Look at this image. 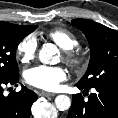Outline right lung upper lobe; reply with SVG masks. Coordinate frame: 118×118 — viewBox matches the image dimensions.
Returning a JSON list of instances; mask_svg holds the SVG:
<instances>
[{
  "mask_svg": "<svg viewBox=\"0 0 118 118\" xmlns=\"http://www.w3.org/2000/svg\"><path fill=\"white\" fill-rule=\"evenodd\" d=\"M18 26H20L21 29L28 31L30 33L33 32L37 28V26H21V25H18Z\"/></svg>",
  "mask_w": 118,
  "mask_h": 118,
  "instance_id": "right-lung-upper-lobe-1",
  "label": "right lung upper lobe"
}]
</instances>
